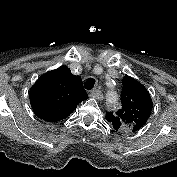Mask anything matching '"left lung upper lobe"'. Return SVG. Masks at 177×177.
Returning a JSON list of instances; mask_svg holds the SVG:
<instances>
[{
  "label": "left lung upper lobe",
  "instance_id": "5c2ea615",
  "mask_svg": "<svg viewBox=\"0 0 177 177\" xmlns=\"http://www.w3.org/2000/svg\"><path fill=\"white\" fill-rule=\"evenodd\" d=\"M122 108L115 114L106 112V120L115 130L136 132L147 122L153 107L146 88L135 79L125 75L121 92Z\"/></svg>",
  "mask_w": 177,
  "mask_h": 177
}]
</instances>
